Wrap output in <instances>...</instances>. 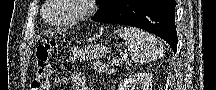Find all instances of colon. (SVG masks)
Returning a JSON list of instances; mask_svg holds the SVG:
<instances>
[{
  "mask_svg": "<svg viewBox=\"0 0 216 90\" xmlns=\"http://www.w3.org/2000/svg\"><path fill=\"white\" fill-rule=\"evenodd\" d=\"M55 42L40 45L36 49L37 69L31 82L32 90H47L51 73V54Z\"/></svg>",
  "mask_w": 216,
  "mask_h": 90,
  "instance_id": "5ec220e1",
  "label": "colon"
}]
</instances>
